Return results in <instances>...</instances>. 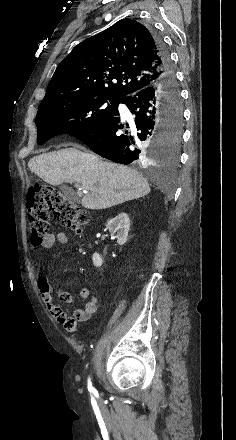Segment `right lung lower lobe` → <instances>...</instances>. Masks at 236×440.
I'll use <instances>...</instances> for the list:
<instances>
[{
    "label": "right lung lower lobe",
    "instance_id": "obj_1",
    "mask_svg": "<svg viewBox=\"0 0 236 440\" xmlns=\"http://www.w3.org/2000/svg\"><path fill=\"white\" fill-rule=\"evenodd\" d=\"M153 38L161 77L119 101L128 107L133 120L123 124L117 109L107 120L73 135L98 155L114 162L149 164L154 153L146 154L145 146L149 143L152 149L160 146L164 130L182 124L181 98L168 52L160 37L153 34Z\"/></svg>",
    "mask_w": 236,
    "mask_h": 440
}]
</instances>
